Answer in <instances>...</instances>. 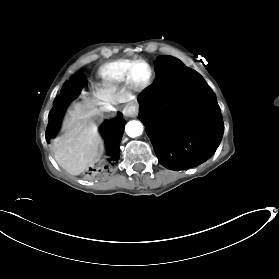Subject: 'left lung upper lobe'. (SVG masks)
Returning <instances> with one entry per match:
<instances>
[{"mask_svg": "<svg viewBox=\"0 0 279 279\" xmlns=\"http://www.w3.org/2000/svg\"><path fill=\"white\" fill-rule=\"evenodd\" d=\"M168 57H171V56H160V57H158L157 58V61L155 62V64L156 63H158V62H161L162 60H164V59H166V58H168ZM172 58H174V57H172ZM175 59H177V58H175ZM177 60H179V59H177ZM180 61V60H179ZM181 62V61H180ZM182 63V62H181ZM183 64V63H182ZM184 65V64H183ZM170 85L168 84V85H163V86H161V87H157V84H156V82H154L152 85H150V87L148 88V90H150V89H155V91H162V90H164V89H166V88H168Z\"/></svg>", "mask_w": 279, "mask_h": 279, "instance_id": "obj_1", "label": "left lung upper lobe"}]
</instances>
